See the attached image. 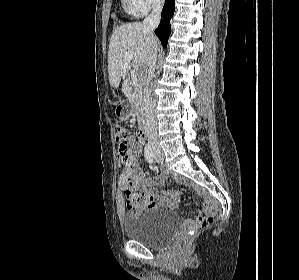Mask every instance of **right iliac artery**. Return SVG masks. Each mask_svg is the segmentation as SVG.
Returning <instances> with one entry per match:
<instances>
[{
    "label": "right iliac artery",
    "mask_w": 299,
    "mask_h": 280,
    "mask_svg": "<svg viewBox=\"0 0 299 280\" xmlns=\"http://www.w3.org/2000/svg\"><path fill=\"white\" fill-rule=\"evenodd\" d=\"M145 159L147 160L148 163H153L154 160V154L153 150L150 144H147L145 146Z\"/></svg>",
    "instance_id": "obj_1"
}]
</instances>
